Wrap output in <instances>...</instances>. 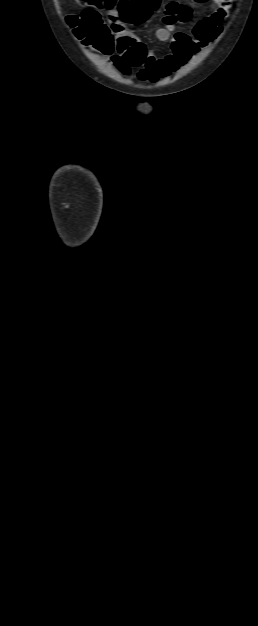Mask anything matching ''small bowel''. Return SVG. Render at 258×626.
I'll use <instances>...</instances> for the list:
<instances>
[{
	"mask_svg": "<svg viewBox=\"0 0 258 626\" xmlns=\"http://www.w3.org/2000/svg\"><path fill=\"white\" fill-rule=\"evenodd\" d=\"M232 1L213 0L214 11L198 21H194L190 7L175 1L167 3L163 10L164 25L157 29L156 36L162 42L170 40L171 52L160 58L145 54L144 60L138 65L141 66L138 78L151 82L166 78L188 63L192 56L209 46L221 34L222 22L228 15ZM120 16L116 9L110 12L112 30L119 35L116 41H113V50L116 47L117 53L111 56V61L122 75L130 77L131 67L137 66L131 62L133 49L142 44L120 35L122 30ZM177 22L191 25V32L176 31ZM113 50L106 54L111 55Z\"/></svg>",
	"mask_w": 258,
	"mask_h": 626,
	"instance_id": "1",
	"label": "small bowel"
}]
</instances>
